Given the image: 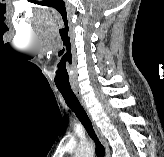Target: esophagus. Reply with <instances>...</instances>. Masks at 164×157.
I'll use <instances>...</instances> for the list:
<instances>
[{
    "label": "esophagus",
    "mask_w": 164,
    "mask_h": 157,
    "mask_svg": "<svg viewBox=\"0 0 164 157\" xmlns=\"http://www.w3.org/2000/svg\"><path fill=\"white\" fill-rule=\"evenodd\" d=\"M74 93H75L76 97L78 98V100L80 101L81 105H82L85 109H87V108H86V105H85V102H84V100H83V98H82V95L80 94V91H79V90H74ZM96 132H97V134L99 135V137H100L102 143L104 144V147H105V157H109L110 152H109V148H108V145H107L105 139L102 137V135H101L100 132L97 130V128H96Z\"/></svg>",
    "instance_id": "esophagus-1"
}]
</instances>
